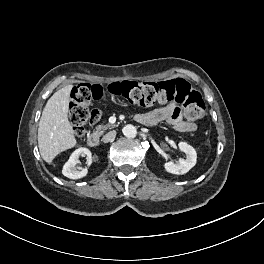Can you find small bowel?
Instances as JSON below:
<instances>
[{
  "label": "small bowel",
  "instance_id": "1",
  "mask_svg": "<svg viewBox=\"0 0 264 264\" xmlns=\"http://www.w3.org/2000/svg\"><path fill=\"white\" fill-rule=\"evenodd\" d=\"M136 119L146 125H154L158 122L166 121L177 131L185 133L196 130V124L184 119L181 109L174 103H168L160 108L138 115Z\"/></svg>",
  "mask_w": 264,
  "mask_h": 264
}]
</instances>
